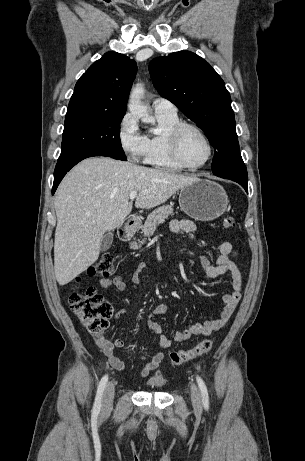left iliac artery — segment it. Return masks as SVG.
I'll use <instances>...</instances> for the list:
<instances>
[{
    "mask_svg": "<svg viewBox=\"0 0 305 461\" xmlns=\"http://www.w3.org/2000/svg\"><path fill=\"white\" fill-rule=\"evenodd\" d=\"M196 380H197V383H198V386L201 392V397H202L204 408L208 410L209 409V396H208L207 387L200 376H197Z\"/></svg>",
    "mask_w": 305,
    "mask_h": 461,
    "instance_id": "left-iliac-artery-1",
    "label": "left iliac artery"
}]
</instances>
